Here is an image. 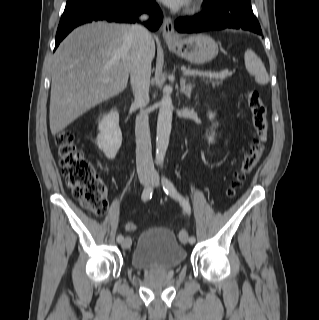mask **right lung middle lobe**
Instances as JSON below:
<instances>
[{"instance_id": "dd1d6c3e", "label": "right lung middle lobe", "mask_w": 319, "mask_h": 320, "mask_svg": "<svg viewBox=\"0 0 319 320\" xmlns=\"http://www.w3.org/2000/svg\"><path fill=\"white\" fill-rule=\"evenodd\" d=\"M88 0H67L65 10L72 9Z\"/></svg>"}]
</instances>
